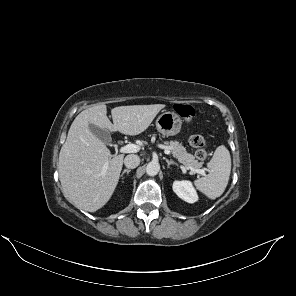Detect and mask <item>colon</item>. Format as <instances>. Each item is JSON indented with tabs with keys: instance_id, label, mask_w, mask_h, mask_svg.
Here are the masks:
<instances>
[{
	"instance_id": "colon-1",
	"label": "colon",
	"mask_w": 296,
	"mask_h": 296,
	"mask_svg": "<svg viewBox=\"0 0 296 296\" xmlns=\"http://www.w3.org/2000/svg\"><path fill=\"white\" fill-rule=\"evenodd\" d=\"M174 111L185 119L186 122H190L194 117V109L188 105L183 103H178L174 105ZM189 144L192 148L196 150L195 155L196 158L200 161H204L207 159L208 155L205 151V139L203 136L194 134L189 137Z\"/></svg>"
}]
</instances>
